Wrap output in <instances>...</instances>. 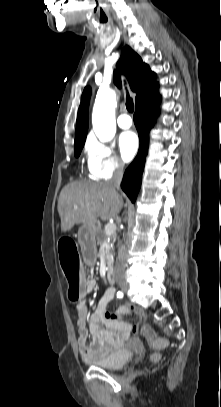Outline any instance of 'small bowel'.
<instances>
[{"mask_svg":"<svg viewBox=\"0 0 221 407\" xmlns=\"http://www.w3.org/2000/svg\"><path fill=\"white\" fill-rule=\"evenodd\" d=\"M97 287L95 279H89L84 285L82 300L76 306L78 316V350L83 359L102 357L119 348L124 340L136 333L138 326L144 321V312L130 305H121L114 312L107 306L113 299L115 290L109 288L101 298L96 309L88 314L87 296ZM133 314L136 323L123 320V316ZM91 341L88 343V336Z\"/></svg>","mask_w":221,"mask_h":407,"instance_id":"small-bowel-1","label":"small bowel"}]
</instances>
